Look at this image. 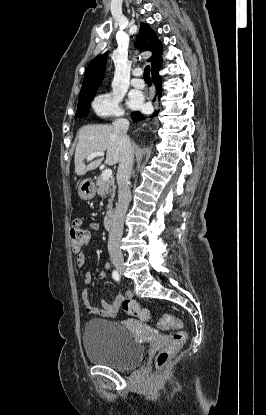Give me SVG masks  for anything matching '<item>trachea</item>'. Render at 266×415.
Listing matches in <instances>:
<instances>
[{
  "mask_svg": "<svg viewBox=\"0 0 266 415\" xmlns=\"http://www.w3.org/2000/svg\"><path fill=\"white\" fill-rule=\"evenodd\" d=\"M144 79L146 81H151V77H150V66H146L144 69Z\"/></svg>",
  "mask_w": 266,
  "mask_h": 415,
  "instance_id": "3493384b",
  "label": "trachea"
}]
</instances>
